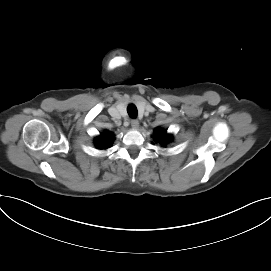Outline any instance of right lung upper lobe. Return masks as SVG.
Here are the masks:
<instances>
[{"mask_svg":"<svg viewBox=\"0 0 271 271\" xmlns=\"http://www.w3.org/2000/svg\"><path fill=\"white\" fill-rule=\"evenodd\" d=\"M113 139H114L113 134L106 131L95 139V145L99 149H106L111 146Z\"/></svg>","mask_w":271,"mask_h":271,"instance_id":"obj_1","label":"right lung upper lobe"}]
</instances>
